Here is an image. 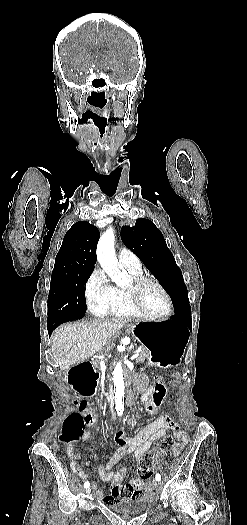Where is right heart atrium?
I'll use <instances>...</instances> for the list:
<instances>
[{
	"mask_svg": "<svg viewBox=\"0 0 247 525\" xmlns=\"http://www.w3.org/2000/svg\"><path fill=\"white\" fill-rule=\"evenodd\" d=\"M84 294L88 310L102 316L114 304L116 292L104 271L96 266L85 282Z\"/></svg>",
	"mask_w": 247,
	"mask_h": 525,
	"instance_id": "right-heart-atrium-1",
	"label": "right heart atrium"
}]
</instances>
